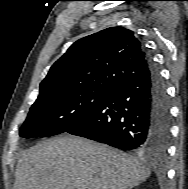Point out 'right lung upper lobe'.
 Instances as JSON below:
<instances>
[{
	"label": "right lung upper lobe",
	"mask_w": 188,
	"mask_h": 189,
	"mask_svg": "<svg viewBox=\"0 0 188 189\" xmlns=\"http://www.w3.org/2000/svg\"><path fill=\"white\" fill-rule=\"evenodd\" d=\"M147 73V53L134 33L110 27L72 44L41 82L38 97L92 88L114 90Z\"/></svg>",
	"instance_id": "right-lung-upper-lobe-1"
}]
</instances>
